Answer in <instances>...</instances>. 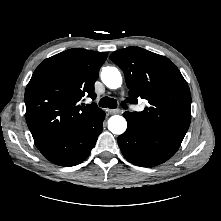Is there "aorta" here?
<instances>
[{
	"label": "aorta",
	"mask_w": 221,
	"mask_h": 221,
	"mask_svg": "<svg viewBox=\"0 0 221 221\" xmlns=\"http://www.w3.org/2000/svg\"><path fill=\"white\" fill-rule=\"evenodd\" d=\"M102 82L110 89H117L122 85V76L116 67H104L101 71ZM127 122L123 116L114 115L108 120V129L113 134H123L126 131Z\"/></svg>",
	"instance_id": "762f6f07"
}]
</instances>
